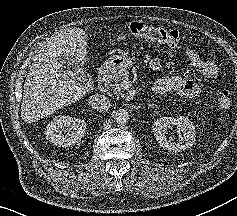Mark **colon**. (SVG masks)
Masks as SVG:
<instances>
[{"mask_svg":"<svg viewBox=\"0 0 237 216\" xmlns=\"http://www.w3.org/2000/svg\"><path fill=\"white\" fill-rule=\"evenodd\" d=\"M129 29L135 36L165 43L170 47H180L182 44L183 37L178 31L163 30L161 28L153 27L142 22H132L129 26ZM217 103L220 109H228L231 105V96L229 91H221L217 99Z\"/></svg>","mask_w":237,"mask_h":216,"instance_id":"colon-1","label":"colon"}]
</instances>
